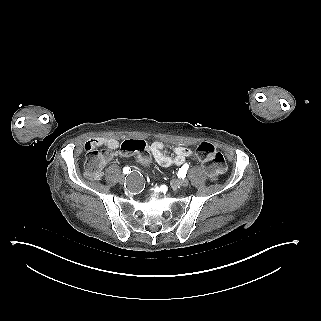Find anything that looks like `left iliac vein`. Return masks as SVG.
<instances>
[{"instance_id":"1","label":"left iliac vein","mask_w":321,"mask_h":321,"mask_svg":"<svg viewBox=\"0 0 321 321\" xmlns=\"http://www.w3.org/2000/svg\"><path fill=\"white\" fill-rule=\"evenodd\" d=\"M173 184L178 188L186 187L188 186L189 181L186 178H182V179L173 180Z\"/></svg>"}]
</instances>
